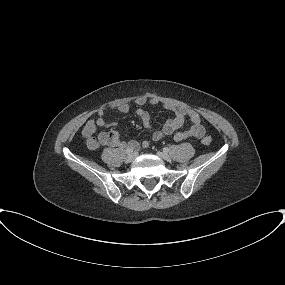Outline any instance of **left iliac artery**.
<instances>
[{
	"label": "left iliac artery",
	"mask_w": 285,
	"mask_h": 285,
	"mask_svg": "<svg viewBox=\"0 0 285 285\" xmlns=\"http://www.w3.org/2000/svg\"><path fill=\"white\" fill-rule=\"evenodd\" d=\"M163 151H164L165 153H168V152H169V149H168L167 147H165V148H163Z\"/></svg>",
	"instance_id": "left-iliac-artery-1"
}]
</instances>
